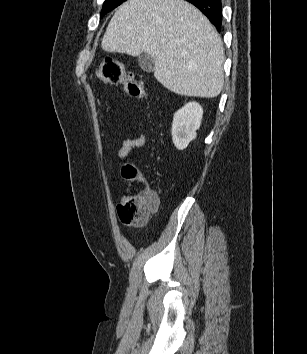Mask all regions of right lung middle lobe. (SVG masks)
<instances>
[{"instance_id":"right-lung-middle-lobe-1","label":"right lung middle lobe","mask_w":307,"mask_h":354,"mask_svg":"<svg viewBox=\"0 0 307 354\" xmlns=\"http://www.w3.org/2000/svg\"><path fill=\"white\" fill-rule=\"evenodd\" d=\"M126 0H105L103 4V8L101 11L100 18H102L107 12L111 11L112 9L119 6L121 3L125 2Z\"/></svg>"}]
</instances>
